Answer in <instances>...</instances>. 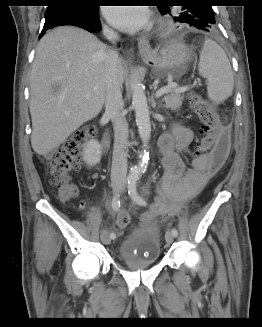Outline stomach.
Wrapping results in <instances>:
<instances>
[{"label":"stomach","instance_id":"stomach-1","mask_svg":"<svg viewBox=\"0 0 262 327\" xmlns=\"http://www.w3.org/2000/svg\"><path fill=\"white\" fill-rule=\"evenodd\" d=\"M143 59L151 63L154 71L161 77L169 74L180 76L191 60V50L182 42L172 41L151 55H143Z\"/></svg>","mask_w":262,"mask_h":327}]
</instances>
